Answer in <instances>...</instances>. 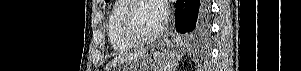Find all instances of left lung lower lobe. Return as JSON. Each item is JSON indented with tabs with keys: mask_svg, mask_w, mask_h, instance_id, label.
Instances as JSON below:
<instances>
[{
	"mask_svg": "<svg viewBox=\"0 0 301 71\" xmlns=\"http://www.w3.org/2000/svg\"><path fill=\"white\" fill-rule=\"evenodd\" d=\"M176 30L184 35V42L203 45L210 34V1L177 0L175 11Z\"/></svg>",
	"mask_w": 301,
	"mask_h": 71,
	"instance_id": "obj_1",
	"label": "left lung lower lobe"
}]
</instances>
